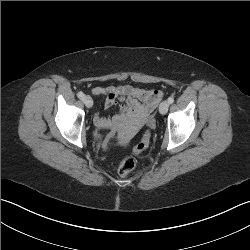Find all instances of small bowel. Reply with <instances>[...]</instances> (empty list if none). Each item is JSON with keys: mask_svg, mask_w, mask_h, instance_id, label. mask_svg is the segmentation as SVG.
<instances>
[{"mask_svg": "<svg viewBox=\"0 0 250 250\" xmlns=\"http://www.w3.org/2000/svg\"><path fill=\"white\" fill-rule=\"evenodd\" d=\"M94 95L104 97V108L110 109L119 103V111L111 116L97 113L94 123L97 127L107 128L118 124L126 118L142 121L156 108L161 99V92L154 89H144L131 85H116L92 88Z\"/></svg>", "mask_w": 250, "mask_h": 250, "instance_id": "c3829d8e", "label": "small bowel"}]
</instances>
